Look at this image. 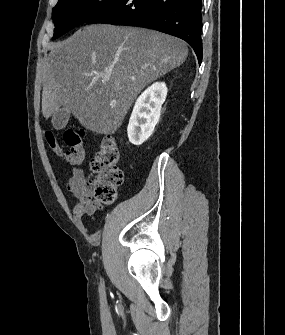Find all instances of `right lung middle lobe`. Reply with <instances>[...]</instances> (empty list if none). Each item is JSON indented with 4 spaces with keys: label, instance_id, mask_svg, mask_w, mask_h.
Instances as JSON below:
<instances>
[{
    "label": "right lung middle lobe",
    "instance_id": "obj_1",
    "mask_svg": "<svg viewBox=\"0 0 285 335\" xmlns=\"http://www.w3.org/2000/svg\"><path fill=\"white\" fill-rule=\"evenodd\" d=\"M118 0H59L53 8L54 37L57 39L72 28L114 5Z\"/></svg>",
    "mask_w": 285,
    "mask_h": 335
}]
</instances>
